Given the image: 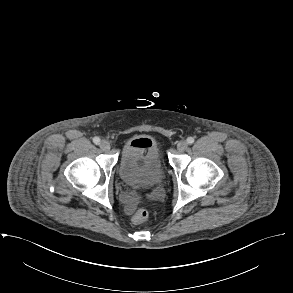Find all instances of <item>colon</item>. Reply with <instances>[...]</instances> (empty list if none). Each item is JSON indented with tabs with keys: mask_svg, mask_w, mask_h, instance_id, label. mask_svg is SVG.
<instances>
[{
	"mask_svg": "<svg viewBox=\"0 0 293 293\" xmlns=\"http://www.w3.org/2000/svg\"><path fill=\"white\" fill-rule=\"evenodd\" d=\"M148 218V212L144 208H138L132 217V222L134 224H141L145 222Z\"/></svg>",
	"mask_w": 293,
	"mask_h": 293,
	"instance_id": "5ec220e1",
	"label": "colon"
}]
</instances>
